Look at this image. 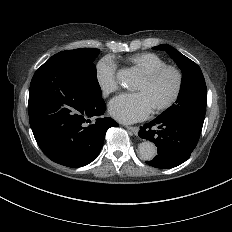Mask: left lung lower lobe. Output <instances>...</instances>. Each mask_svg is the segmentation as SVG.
<instances>
[{
	"label": "left lung lower lobe",
	"instance_id": "0a47b994",
	"mask_svg": "<svg viewBox=\"0 0 232 232\" xmlns=\"http://www.w3.org/2000/svg\"><path fill=\"white\" fill-rule=\"evenodd\" d=\"M153 126L158 127L155 130ZM201 131L176 118L157 117L140 127L139 136L155 143L158 155L146 163L155 168L176 167L190 158Z\"/></svg>",
	"mask_w": 232,
	"mask_h": 232
}]
</instances>
